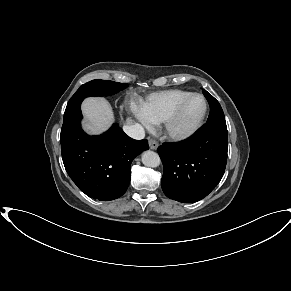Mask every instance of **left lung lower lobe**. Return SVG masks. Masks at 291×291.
Here are the masks:
<instances>
[{
  "mask_svg": "<svg viewBox=\"0 0 291 291\" xmlns=\"http://www.w3.org/2000/svg\"><path fill=\"white\" fill-rule=\"evenodd\" d=\"M227 151L226 122L206 123L187 140L159 146L165 195L183 203L206 197L223 177Z\"/></svg>",
  "mask_w": 291,
  "mask_h": 291,
  "instance_id": "1",
  "label": "left lung lower lobe"
}]
</instances>
